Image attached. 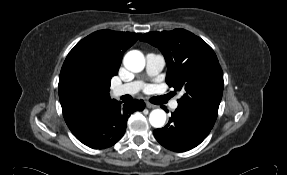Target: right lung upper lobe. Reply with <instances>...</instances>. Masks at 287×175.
<instances>
[{
	"mask_svg": "<svg viewBox=\"0 0 287 175\" xmlns=\"http://www.w3.org/2000/svg\"><path fill=\"white\" fill-rule=\"evenodd\" d=\"M140 34L100 30L80 42L67 55L59 77V99L66 123L86 116L94 108L110 101V80L117 75L123 53L131 47ZM80 73H85L95 88V96L79 107L71 100L70 92Z\"/></svg>",
	"mask_w": 287,
	"mask_h": 175,
	"instance_id": "1",
	"label": "right lung upper lobe"
}]
</instances>
